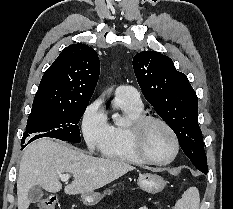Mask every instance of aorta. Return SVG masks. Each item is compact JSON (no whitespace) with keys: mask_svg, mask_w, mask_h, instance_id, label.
<instances>
[{"mask_svg":"<svg viewBox=\"0 0 233 209\" xmlns=\"http://www.w3.org/2000/svg\"><path fill=\"white\" fill-rule=\"evenodd\" d=\"M113 120H114V123L116 125H123L124 124V120L118 115L116 114L114 117H113Z\"/></svg>","mask_w":233,"mask_h":209,"instance_id":"aorta-1","label":"aorta"}]
</instances>
